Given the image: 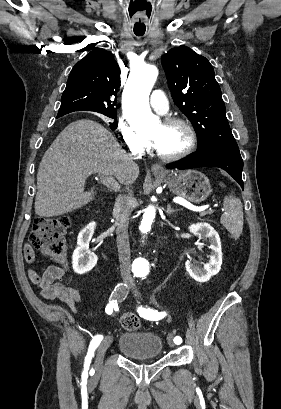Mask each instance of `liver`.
Returning <instances> with one entry per match:
<instances>
[{"mask_svg":"<svg viewBox=\"0 0 281 409\" xmlns=\"http://www.w3.org/2000/svg\"><path fill=\"white\" fill-rule=\"evenodd\" d=\"M94 172L113 174L121 184H132L139 166L121 148L105 126L81 118L70 122L46 150L37 172L35 213L58 217L88 205L95 190H84L86 178Z\"/></svg>","mask_w":281,"mask_h":409,"instance_id":"liver-1","label":"liver"}]
</instances>
